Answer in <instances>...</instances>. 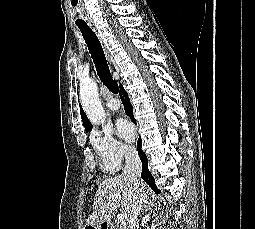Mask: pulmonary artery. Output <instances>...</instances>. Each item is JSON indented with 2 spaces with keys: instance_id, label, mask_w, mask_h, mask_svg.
Returning <instances> with one entry per match:
<instances>
[{
  "instance_id": "pulmonary-artery-1",
  "label": "pulmonary artery",
  "mask_w": 255,
  "mask_h": 229,
  "mask_svg": "<svg viewBox=\"0 0 255 229\" xmlns=\"http://www.w3.org/2000/svg\"><path fill=\"white\" fill-rule=\"evenodd\" d=\"M107 106L112 111H117L120 108L119 101L114 97H109L107 99Z\"/></svg>"
}]
</instances>
